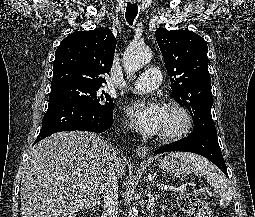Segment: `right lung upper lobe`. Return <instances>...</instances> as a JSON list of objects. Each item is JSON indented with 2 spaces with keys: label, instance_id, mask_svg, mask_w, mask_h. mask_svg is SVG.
<instances>
[{
  "label": "right lung upper lobe",
  "instance_id": "1",
  "mask_svg": "<svg viewBox=\"0 0 255 217\" xmlns=\"http://www.w3.org/2000/svg\"><path fill=\"white\" fill-rule=\"evenodd\" d=\"M115 48L116 39L108 28L71 33L55 52L51 87L106 84L102 75L111 70Z\"/></svg>",
  "mask_w": 255,
  "mask_h": 217
}]
</instances>
